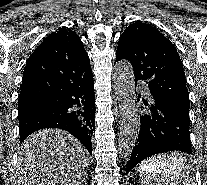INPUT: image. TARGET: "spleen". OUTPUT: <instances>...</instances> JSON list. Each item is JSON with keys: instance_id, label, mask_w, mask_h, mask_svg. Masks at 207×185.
I'll use <instances>...</instances> for the list:
<instances>
[{"instance_id": "spleen-1", "label": "spleen", "mask_w": 207, "mask_h": 185, "mask_svg": "<svg viewBox=\"0 0 207 185\" xmlns=\"http://www.w3.org/2000/svg\"><path fill=\"white\" fill-rule=\"evenodd\" d=\"M182 151L153 153V158H143L136 171H150L141 174V183L146 185H191L197 172L193 171L192 158H180ZM179 158V159H175Z\"/></svg>"}]
</instances>
